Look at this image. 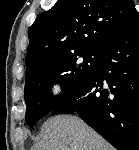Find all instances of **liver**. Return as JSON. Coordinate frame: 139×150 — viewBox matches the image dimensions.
Here are the masks:
<instances>
[{
	"label": "liver",
	"mask_w": 139,
	"mask_h": 150,
	"mask_svg": "<svg viewBox=\"0 0 139 150\" xmlns=\"http://www.w3.org/2000/svg\"><path fill=\"white\" fill-rule=\"evenodd\" d=\"M34 150H113L112 147L81 119L56 116L42 127L41 139Z\"/></svg>",
	"instance_id": "liver-1"
}]
</instances>
